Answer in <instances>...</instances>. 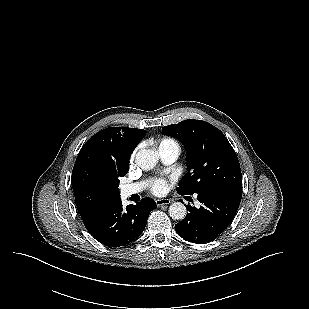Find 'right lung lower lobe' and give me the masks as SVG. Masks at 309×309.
Listing matches in <instances>:
<instances>
[{"label":"right lung lower lobe","mask_w":309,"mask_h":309,"mask_svg":"<svg viewBox=\"0 0 309 309\" xmlns=\"http://www.w3.org/2000/svg\"><path fill=\"white\" fill-rule=\"evenodd\" d=\"M155 208V201L149 198L126 208L122 207L121 199H118L99 209L83 223L100 243L109 247L125 246L140 236L149 213Z\"/></svg>","instance_id":"98d812e1"}]
</instances>
